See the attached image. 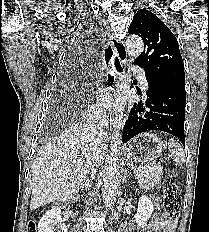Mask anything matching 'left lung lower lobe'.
<instances>
[{"label": "left lung lower lobe", "mask_w": 209, "mask_h": 232, "mask_svg": "<svg viewBox=\"0 0 209 232\" xmlns=\"http://www.w3.org/2000/svg\"><path fill=\"white\" fill-rule=\"evenodd\" d=\"M147 82V100L131 106L123 130V142L140 133L157 130L175 136L185 147V92L173 87L154 86L148 78Z\"/></svg>", "instance_id": "obj_1"}]
</instances>
